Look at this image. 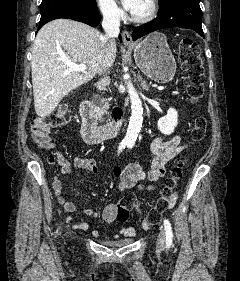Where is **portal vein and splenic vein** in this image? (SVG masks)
I'll use <instances>...</instances> for the list:
<instances>
[{"instance_id":"obj_1","label":"portal vein and splenic vein","mask_w":240,"mask_h":281,"mask_svg":"<svg viewBox=\"0 0 240 281\" xmlns=\"http://www.w3.org/2000/svg\"><path fill=\"white\" fill-rule=\"evenodd\" d=\"M66 65L69 67V70L71 71H78V72H85L87 67L83 64H75V63H72V62H66ZM158 90H164L165 87L163 86H158L157 87Z\"/></svg>"}]
</instances>
